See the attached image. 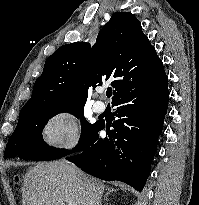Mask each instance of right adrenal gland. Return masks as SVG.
Wrapping results in <instances>:
<instances>
[{
    "instance_id": "right-adrenal-gland-1",
    "label": "right adrenal gland",
    "mask_w": 199,
    "mask_h": 205,
    "mask_svg": "<svg viewBox=\"0 0 199 205\" xmlns=\"http://www.w3.org/2000/svg\"><path fill=\"white\" fill-rule=\"evenodd\" d=\"M113 191H115L113 188H107V192H106V194H105V196H104V201H105V202H108V195H109L111 192H113Z\"/></svg>"
}]
</instances>
